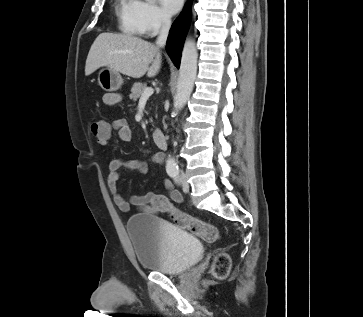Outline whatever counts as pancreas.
I'll list each match as a JSON object with an SVG mask.
<instances>
[{
    "label": "pancreas",
    "instance_id": "1",
    "mask_svg": "<svg viewBox=\"0 0 363 317\" xmlns=\"http://www.w3.org/2000/svg\"><path fill=\"white\" fill-rule=\"evenodd\" d=\"M145 89H146V84H142L140 82L134 83V85L131 88V94L129 95V98L132 99L133 101H137V99L141 97Z\"/></svg>",
    "mask_w": 363,
    "mask_h": 317
}]
</instances>
